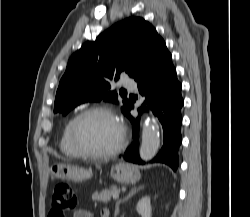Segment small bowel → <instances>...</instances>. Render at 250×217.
Masks as SVG:
<instances>
[{
	"label": "small bowel",
	"instance_id": "obj_1",
	"mask_svg": "<svg viewBox=\"0 0 250 217\" xmlns=\"http://www.w3.org/2000/svg\"><path fill=\"white\" fill-rule=\"evenodd\" d=\"M109 216V210L103 209L100 213L101 217H105L104 215ZM106 216V217H107ZM73 217H91V213L86 209H78L74 212Z\"/></svg>",
	"mask_w": 250,
	"mask_h": 217
}]
</instances>
